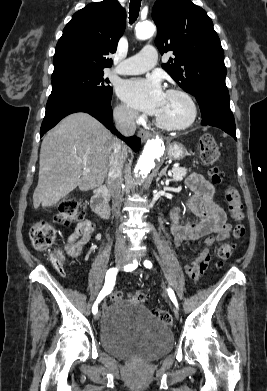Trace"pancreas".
<instances>
[{
    "mask_svg": "<svg viewBox=\"0 0 267 391\" xmlns=\"http://www.w3.org/2000/svg\"><path fill=\"white\" fill-rule=\"evenodd\" d=\"M172 173H173V181L175 182L182 181L187 174V169L177 166L173 168Z\"/></svg>",
    "mask_w": 267,
    "mask_h": 391,
    "instance_id": "obj_1",
    "label": "pancreas"
}]
</instances>
